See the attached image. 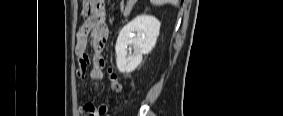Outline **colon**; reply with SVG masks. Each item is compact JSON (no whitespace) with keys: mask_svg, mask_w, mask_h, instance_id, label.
Returning <instances> with one entry per match:
<instances>
[{"mask_svg":"<svg viewBox=\"0 0 283 116\" xmlns=\"http://www.w3.org/2000/svg\"><path fill=\"white\" fill-rule=\"evenodd\" d=\"M108 79L110 81L111 90L118 93L121 90V85L118 81L117 75L112 68H108Z\"/></svg>","mask_w":283,"mask_h":116,"instance_id":"5ec220e1","label":"colon"}]
</instances>
